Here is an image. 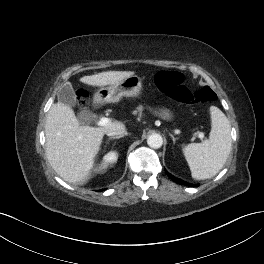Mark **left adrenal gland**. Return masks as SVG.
Here are the masks:
<instances>
[{"mask_svg": "<svg viewBox=\"0 0 264 264\" xmlns=\"http://www.w3.org/2000/svg\"><path fill=\"white\" fill-rule=\"evenodd\" d=\"M169 135L171 136L173 143L175 144L176 138L171 133Z\"/></svg>", "mask_w": 264, "mask_h": 264, "instance_id": "a2214340", "label": "left adrenal gland"}]
</instances>
